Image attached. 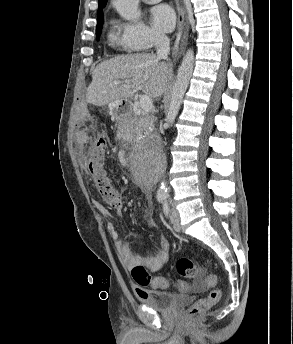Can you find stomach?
<instances>
[{"label":"stomach","mask_w":293,"mask_h":344,"mask_svg":"<svg viewBox=\"0 0 293 344\" xmlns=\"http://www.w3.org/2000/svg\"><path fill=\"white\" fill-rule=\"evenodd\" d=\"M122 103H123L122 101H114L110 103L109 109L111 110V112L116 113L119 110Z\"/></svg>","instance_id":"0dacf381"}]
</instances>
